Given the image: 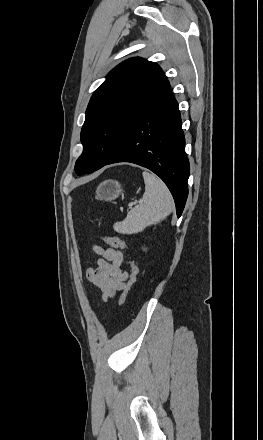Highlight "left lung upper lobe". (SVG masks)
Wrapping results in <instances>:
<instances>
[{
  "label": "left lung upper lobe",
  "mask_w": 263,
  "mask_h": 440,
  "mask_svg": "<svg viewBox=\"0 0 263 440\" xmlns=\"http://www.w3.org/2000/svg\"><path fill=\"white\" fill-rule=\"evenodd\" d=\"M166 80L156 63L139 57L120 63L107 75L86 110L83 152L75 164L78 175L92 173L112 158L135 116Z\"/></svg>",
  "instance_id": "obj_1"
}]
</instances>
